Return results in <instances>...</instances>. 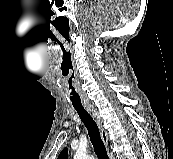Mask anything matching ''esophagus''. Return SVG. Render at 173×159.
<instances>
[{
    "mask_svg": "<svg viewBox=\"0 0 173 159\" xmlns=\"http://www.w3.org/2000/svg\"><path fill=\"white\" fill-rule=\"evenodd\" d=\"M87 110L92 115L95 122L97 123L99 130H100L102 141L104 142V144L107 147L108 146V135L102 126V120H101V117H100L98 111L94 107H88Z\"/></svg>",
    "mask_w": 173,
    "mask_h": 159,
    "instance_id": "esophagus-1",
    "label": "esophagus"
}]
</instances>
